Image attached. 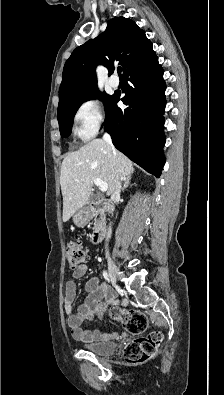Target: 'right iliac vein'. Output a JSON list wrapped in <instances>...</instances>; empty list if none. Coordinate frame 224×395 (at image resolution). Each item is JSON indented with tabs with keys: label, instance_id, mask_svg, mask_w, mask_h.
Returning a JSON list of instances; mask_svg holds the SVG:
<instances>
[{
	"label": "right iliac vein",
	"instance_id": "right-iliac-vein-1",
	"mask_svg": "<svg viewBox=\"0 0 224 395\" xmlns=\"http://www.w3.org/2000/svg\"><path fill=\"white\" fill-rule=\"evenodd\" d=\"M108 271L110 278L114 284L117 283V268L113 260L111 258H108Z\"/></svg>",
	"mask_w": 224,
	"mask_h": 395
}]
</instances>
